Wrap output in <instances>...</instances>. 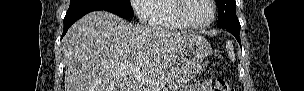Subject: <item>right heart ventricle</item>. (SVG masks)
<instances>
[{
	"label": "right heart ventricle",
	"mask_w": 304,
	"mask_h": 91,
	"mask_svg": "<svg viewBox=\"0 0 304 91\" xmlns=\"http://www.w3.org/2000/svg\"><path fill=\"white\" fill-rule=\"evenodd\" d=\"M175 0H157L151 6L154 15L152 26L167 29H185L186 27L179 22L173 13Z\"/></svg>",
	"instance_id": "e07e8e85"
}]
</instances>
